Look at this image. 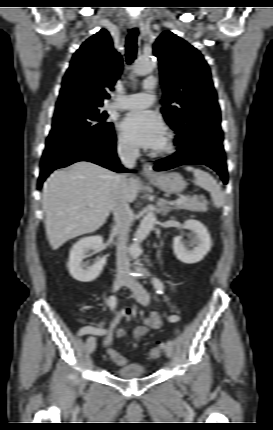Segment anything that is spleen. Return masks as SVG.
<instances>
[{
    "label": "spleen",
    "mask_w": 273,
    "mask_h": 430,
    "mask_svg": "<svg viewBox=\"0 0 273 430\" xmlns=\"http://www.w3.org/2000/svg\"><path fill=\"white\" fill-rule=\"evenodd\" d=\"M187 171L193 172L195 176V184L209 191L212 197L213 205L216 208H221L224 205V195L216 180L206 171H203L192 166L185 168Z\"/></svg>",
    "instance_id": "obj_1"
}]
</instances>
